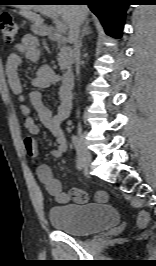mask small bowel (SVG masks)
Here are the masks:
<instances>
[{
  "instance_id": "obj_1",
  "label": "small bowel",
  "mask_w": 156,
  "mask_h": 266,
  "mask_svg": "<svg viewBox=\"0 0 156 266\" xmlns=\"http://www.w3.org/2000/svg\"><path fill=\"white\" fill-rule=\"evenodd\" d=\"M17 50L23 53L29 60H36L39 56L37 40L31 35H26L22 38L21 42L17 45ZM21 63V55L19 53H11L6 60L5 74L10 89L20 103V111L24 116V127L29 133V136L25 137L23 141V146L28 156L36 163L37 178L57 203L66 204L70 200L79 204L87 203L88 195L81 189L72 188L68 192H63L61 183L54 177L51 168L40 160L38 144L33 137L39 133V125L32 118L30 107L26 104V100H28L41 124L56 137L58 147L51 152V155L58 158L67 150L68 146L63 122L69 117L72 109L71 93L64 88L59 91L57 112L53 114L44 104L40 91H32L29 94L24 93L19 76ZM55 82L56 75L52 69L48 66H42L33 80V85L37 89H44ZM95 199L97 202L104 203L107 201L108 195L104 191H99L96 193Z\"/></svg>"
}]
</instances>
